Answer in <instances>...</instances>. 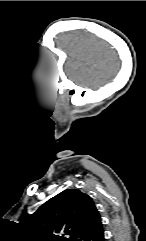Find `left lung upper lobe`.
Listing matches in <instances>:
<instances>
[{
	"mask_svg": "<svg viewBox=\"0 0 146 241\" xmlns=\"http://www.w3.org/2000/svg\"><path fill=\"white\" fill-rule=\"evenodd\" d=\"M100 220L90 196L78 189H68L26 216L22 224L36 241H78Z\"/></svg>",
	"mask_w": 146,
	"mask_h": 241,
	"instance_id": "5c2ea615",
	"label": "left lung upper lobe"
}]
</instances>
